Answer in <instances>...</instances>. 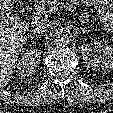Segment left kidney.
Returning <instances> with one entry per match:
<instances>
[{"label":"left kidney","instance_id":"1","mask_svg":"<svg viewBox=\"0 0 113 113\" xmlns=\"http://www.w3.org/2000/svg\"><path fill=\"white\" fill-rule=\"evenodd\" d=\"M82 58L88 68L96 71H108L113 68V49L101 42H88L81 46ZM98 53L99 56H94Z\"/></svg>","mask_w":113,"mask_h":113}]
</instances>
